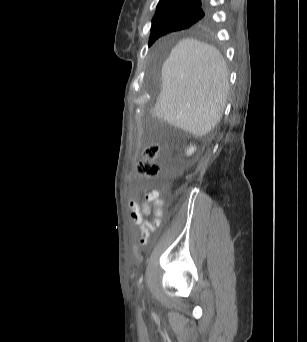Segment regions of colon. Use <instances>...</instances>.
<instances>
[{"label": "colon", "instance_id": "colon-1", "mask_svg": "<svg viewBox=\"0 0 307 342\" xmlns=\"http://www.w3.org/2000/svg\"><path fill=\"white\" fill-rule=\"evenodd\" d=\"M160 154V146L156 143L146 146L143 152V158L138 164L139 175L145 178H154L160 173V165L155 159Z\"/></svg>", "mask_w": 307, "mask_h": 342}]
</instances>
